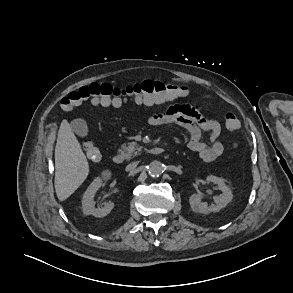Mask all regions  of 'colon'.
<instances>
[{
    "instance_id": "obj_1",
    "label": "colon",
    "mask_w": 293,
    "mask_h": 293,
    "mask_svg": "<svg viewBox=\"0 0 293 293\" xmlns=\"http://www.w3.org/2000/svg\"><path fill=\"white\" fill-rule=\"evenodd\" d=\"M185 89L181 86L154 80H145L125 86H114L110 83H91L84 85L60 100V108L70 110L84 102H91L102 107L120 106L128 101L150 99L153 101L177 100L185 96ZM239 120L232 114L226 117V127L236 130ZM85 154L91 162L99 161L100 150L89 139L82 142Z\"/></svg>"
}]
</instances>
